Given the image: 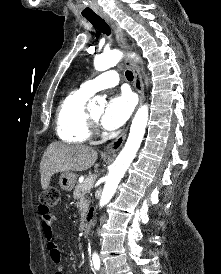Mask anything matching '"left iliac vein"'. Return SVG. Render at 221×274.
<instances>
[{
    "instance_id": "obj_1",
    "label": "left iliac vein",
    "mask_w": 221,
    "mask_h": 274,
    "mask_svg": "<svg viewBox=\"0 0 221 274\" xmlns=\"http://www.w3.org/2000/svg\"><path fill=\"white\" fill-rule=\"evenodd\" d=\"M99 274H106V270H105V268H104V267H102V268L100 269Z\"/></svg>"
}]
</instances>
